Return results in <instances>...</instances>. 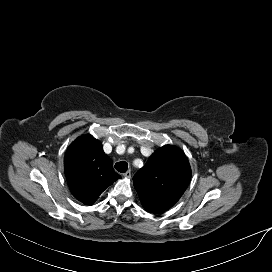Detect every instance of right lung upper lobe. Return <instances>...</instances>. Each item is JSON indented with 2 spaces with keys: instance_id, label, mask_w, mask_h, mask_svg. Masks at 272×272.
<instances>
[{
  "instance_id": "obj_1",
  "label": "right lung upper lobe",
  "mask_w": 272,
  "mask_h": 272,
  "mask_svg": "<svg viewBox=\"0 0 272 272\" xmlns=\"http://www.w3.org/2000/svg\"><path fill=\"white\" fill-rule=\"evenodd\" d=\"M112 165L97 139L91 135L77 138L64 158V171L72 195L92 205L108 186L121 178Z\"/></svg>"
}]
</instances>
